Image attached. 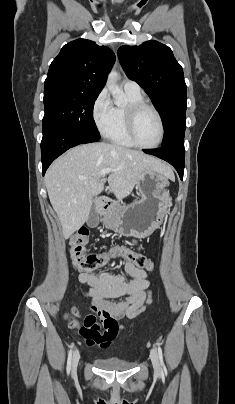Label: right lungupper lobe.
Here are the masks:
<instances>
[{
	"label": "right lung upper lobe",
	"mask_w": 235,
	"mask_h": 404,
	"mask_svg": "<svg viewBox=\"0 0 235 404\" xmlns=\"http://www.w3.org/2000/svg\"><path fill=\"white\" fill-rule=\"evenodd\" d=\"M115 62L108 47L87 39L64 45L49 67L44 87L63 86L84 93L99 94Z\"/></svg>",
	"instance_id": "right-lung-upper-lobe-1"
}]
</instances>
